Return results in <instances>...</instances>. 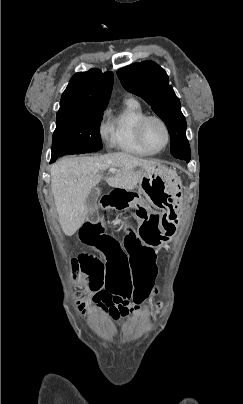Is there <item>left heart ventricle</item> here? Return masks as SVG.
Here are the masks:
<instances>
[{
  "label": "left heart ventricle",
  "mask_w": 243,
  "mask_h": 404,
  "mask_svg": "<svg viewBox=\"0 0 243 404\" xmlns=\"http://www.w3.org/2000/svg\"><path fill=\"white\" fill-rule=\"evenodd\" d=\"M143 135L147 143L155 148H162L167 142V133L163 125L157 120H150L143 129Z\"/></svg>",
  "instance_id": "1"
}]
</instances>
